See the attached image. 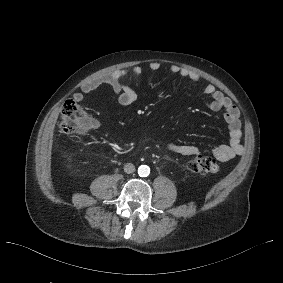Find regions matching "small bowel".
Here are the masks:
<instances>
[{"label": "small bowel", "instance_id": "obj_1", "mask_svg": "<svg viewBox=\"0 0 283 283\" xmlns=\"http://www.w3.org/2000/svg\"><path fill=\"white\" fill-rule=\"evenodd\" d=\"M149 68L152 71H156L160 68V64L158 62H152L150 63ZM169 71L172 74L179 75L182 78L188 79L192 82L200 81V76L196 72L175 64L169 67ZM141 73V67L133 66L101 74L87 81L81 87V90L74 95V101L81 102L85 96L93 92L99 86L106 84L113 89L117 96L118 103L122 107H129L136 101L137 94L124 82V78L128 75L138 76ZM203 92L208 98L206 101L208 108L213 111L223 112V118L229 130V142L213 148L212 154L219 161H229L236 156L241 155L244 151V147L241 143L242 132L240 111L234 102L222 91L218 90L212 83L206 84ZM95 125L96 124H94V126ZM165 147L172 153L184 156H195L200 153V149L197 146L189 144L167 143Z\"/></svg>", "mask_w": 283, "mask_h": 283}]
</instances>
